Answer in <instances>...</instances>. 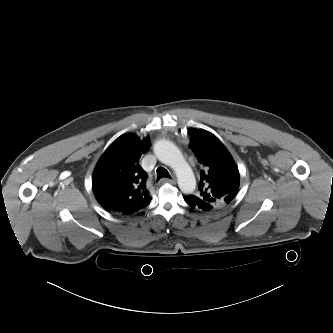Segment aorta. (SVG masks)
Here are the masks:
<instances>
[{"label":"aorta","instance_id":"aorta-1","mask_svg":"<svg viewBox=\"0 0 333 333\" xmlns=\"http://www.w3.org/2000/svg\"><path fill=\"white\" fill-rule=\"evenodd\" d=\"M153 150L159 161L175 171L180 190L185 194L193 193L196 188L194 173L177 146L171 141L159 140Z\"/></svg>","mask_w":333,"mask_h":333}]
</instances>
